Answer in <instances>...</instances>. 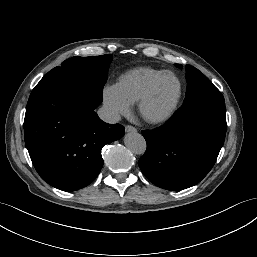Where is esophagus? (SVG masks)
I'll use <instances>...</instances> for the list:
<instances>
[{
	"label": "esophagus",
	"instance_id": "1",
	"mask_svg": "<svg viewBox=\"0 0 257 257\" xmlns=\"http://www.w3.org/2000/svg\"><path fill=\"white\" fill-rule=\"evenodd\" d=\"M125 132H137V129L134 126L127 125L125 126Z\"/></svg>",
	"mask_w": 257,
	"mask_h": 257
}]
</instances>
